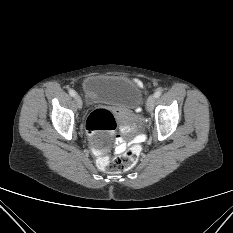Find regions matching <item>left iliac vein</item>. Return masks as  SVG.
Segmentation results:
<instances>
[{
    "mask_svg": "<svg viewBox=\"0 0 233 233\" xmlns=\"http://www.w3.org/2000/svg\"><path fill=\"white\" fill-rule=\"evenodd\" d=\"M155 99L156 98H155L154 95H150L148 97L147 102H146V108H147L148 111H152Z\"/></svg>",
    "mask_w": 233,
    "mask_h": 233,
    "instance_id": "1",
    "label": "left iliac vein"
}]
</instances>
